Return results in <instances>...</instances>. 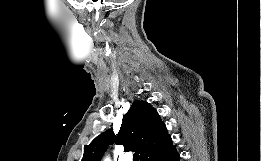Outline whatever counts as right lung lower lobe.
Wrapping results in <instances>:
<instances>
[{
    "mask_svg": "<svg viewBox=\"0 0 261 161\" xmlns=\"http://www.w3.org/2000/svg\"><path fill=\"white\" fill-rule=\"evenodd\" d=\"M180 156L176 151V145L172 143L151 153L144 161H179Z\"/></svg>",
    "mask_w": 261,
    "mask_h": 161,
    "instance_id": "1",
    "label": "right lung lower lobe"
}]
</instances>
